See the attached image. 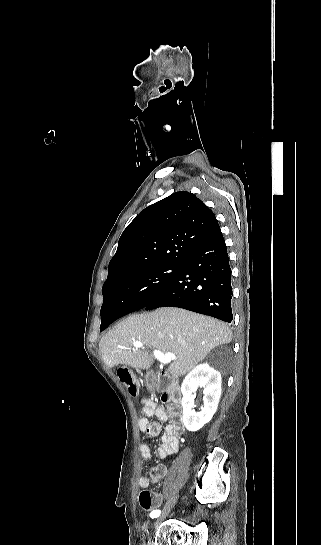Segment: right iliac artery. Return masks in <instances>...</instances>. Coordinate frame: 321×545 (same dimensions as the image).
Returning a JSON list of instances; mask_svg holds the SVG:
<instances>
[{"label": "right iliac artery", "instance_id": "right-iliac-artery-1", "mask_svg": "<svg viewBox=\"0 0 321 545\" xmlns=\"http://www.w3.org/2000/svg\"><path fill=\"white\" fill-rule=\"evenodd\" d=\"M160 514H161V511H160V510H155V511H152V512H151L150 517H151V518H156V517H158Z\"/></svg>", "mask_w": 321, "mask_h": 545}]
</instances>
